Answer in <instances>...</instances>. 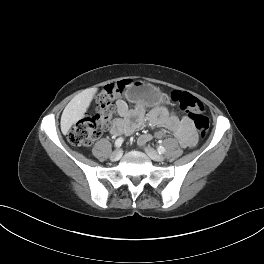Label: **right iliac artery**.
Here are the masks:
<instances>
[{
    "instance_id": "obj_1",
    "label": "right iliac artery",
    "mask_w": 264,
    "mask_h": 264,
    "mask_svg": "<svg viewBox=\"0 0 264 264\" xmlns=\"http://www.w3.org/2000/svg\"><path fill=\"white\" fill-rule=\"evenodd\" d=\"M124 142V139L122 137L118 138L116 141H115V147L116 148H119L122 143Z\"/></svg>"
}]
</instances>
